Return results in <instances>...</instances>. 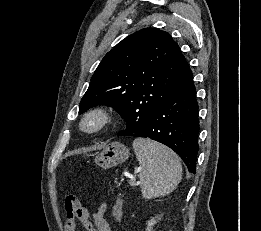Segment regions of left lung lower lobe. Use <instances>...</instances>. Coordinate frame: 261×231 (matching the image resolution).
I'll return each instance as SVG.
<instances>
[{
    "mask_svg": "<svg viewBox=\"0 0 261 231\" xmlns=\"http://www.w3.org/2000/svg\"><path fill=\"white\" fill-rule=\"evenodd\" d=\"M198 108L192 77L155 109L142 126L127 127L118 136L145 137L163 143L182 158L189 172H195L199 150Z\"/></svg>",
    "mask_w": 261,
    "mask_h": 231,
    "instance_id": "1",
    "label": "left lung lower lobe"
}]
</instances>
